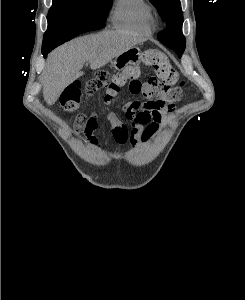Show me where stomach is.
Masks as SVG:
<instances>
[{
  "label": "stomach",
  "instance_id": "obj_1",
  "mask_svg": "<svg viewBox=\"0 0 245 300\" xmlns=\"http://www.w3.org/2000/svg\"><path fill=\"white\" fill-rule=\"evenodd\" d=\"M141 62V51L132 47L115 57L113 66L116 70H123L128 65H138Z\"/></svg>",
  "mask_w": 245,
  "mask_h": 300
}]
</instances>
